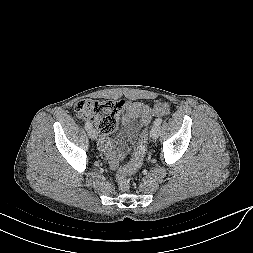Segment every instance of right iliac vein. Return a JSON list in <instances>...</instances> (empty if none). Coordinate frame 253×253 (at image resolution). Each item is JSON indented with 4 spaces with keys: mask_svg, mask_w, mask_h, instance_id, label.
Instances as JSON below:
<instances>
[{
    "mask_svg": "<svg viewBox=\"0 0 253 253\" xmlns=\"http://www.w3.org/2000/svg\"><path fill=\"white\" fill-rule=\"evenodd\" d=\"M97 131L93 128H90L88 130V136L91 138V139H97Z\"/></svg>",
    "mask_w": 253,
    "mask_h": 253,
    "instance_id": "right-iliac-vein-1",
    "label": "right iliac vein"
}]
</instances>
